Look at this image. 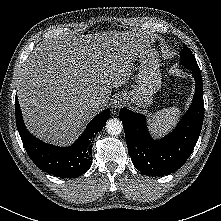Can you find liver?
Returning a JSON list of instances; mask_svg holds the SVG:
<instances>
[{"label":"liver","mask_w":221,"mask_h":221,"mask_svg":"<svg viewBox=\"0 0 221 221\" xmlns=\"http://www.w3.org/2000/svg\"><path fill=\"white\" fill-rule=\"evenodd\" d=\"M150 44L147 36L113 31L40 43L17 85L29 131L52 144L72 143L94 112L108 105L110 89L126 83L134 60ZM94 99L101 101L98 108L90 106Z\"/></svg>","instance_id":"1"}]
</instances>
